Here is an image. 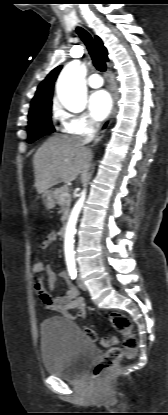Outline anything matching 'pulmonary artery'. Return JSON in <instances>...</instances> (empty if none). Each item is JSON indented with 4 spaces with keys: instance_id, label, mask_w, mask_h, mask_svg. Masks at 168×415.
Instances as JSON below:
<instances>
[{
    "instance_id": "e3ab8cb5",
    "label": "pulmonary artery",
    "mask_w": 168,
    "mask_h": 415,
    "mask_svg": "<svg viewBox=\"0 0 168 415\" xmlns=\"http://www.w3.org/2000/svg\"><path fill=\"white\" fill-rule=\"evenodd\" d=\"M88 85L91 88H99L103 85V79L101 78V76L99 74L94 73V74L89 76Z\"/></svg>"
}]
</instances>
